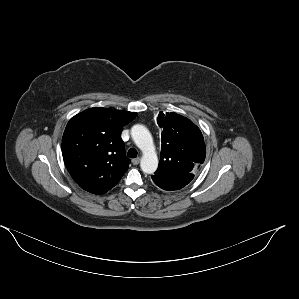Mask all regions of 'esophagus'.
Segmentation results:
<instances>
[{
	"mask_svg": "<svg viewBox=\"0 0 299 299\" xmlns=\"http://www.w3.org/2000/svg\"><path fill=\"white\" fill-rule=\"evenodd\" d=\"M133 165H138L140 163V158H135L132 160Z\"/></svg>",
	"mask_w": 299,
	"mask_h": 299,
	"instance_id": "34e87169",
	"label": "esophagus"
}]
</instances>
